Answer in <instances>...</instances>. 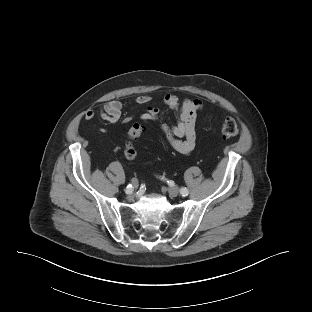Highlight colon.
Returning <instances> with one entry per match:
<instances>
[{
    "label": "colon",
    "instance_id": "1",
    "mask_svg": "<svg viewBox=\"0 0 312 312\" xmlns=\"http://www.w3.org/2000/svg\"><path fill=\"white\" fill-rule=\"evenodd\" d=\"M143 125L134 123L128 130V140L124 148V155L127 159H134L137 156V150L133 145V140L138 138L143 132ZM222 133L226 137H234L239 134V127L232 118H226L222 123Z\"/></svg>",
    "mask_w": 312,
    "mask_h": 312
}]
</instances>
